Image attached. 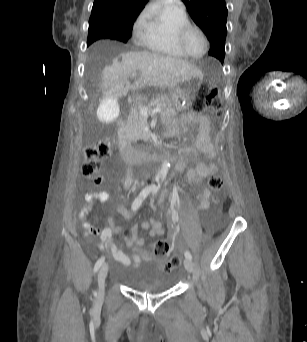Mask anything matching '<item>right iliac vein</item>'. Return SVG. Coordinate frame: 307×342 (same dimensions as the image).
<instances>
[{
  "label": "right iliac vein",
  "instance_id": "1",
  "mask_svg": "<svg viewBox=\"0 0 307 342\" xmlns=\"http://www.w3.org/2000/svg\"><path fill=\"white\" fill-rule=\"evenodd\" d=\"M107 273H108V264H104L99 272H98V276H97V282H98V296L99 297H103L104 296V292H105V280L107 277Z\"/></svg>",
  "mask_w": 307,
  "mask_h": 342
}]
</instances>
